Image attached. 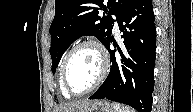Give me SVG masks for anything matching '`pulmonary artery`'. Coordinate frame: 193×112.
<instances>
[{
    "instance_id": "obj_1",
    "label": "pulmonary artery",
    "mask_w": 193,
    "mask_h": 112,
    "mask_svg": "<svg viewBox=\"0 0 193 112\" xmlns=\"http://www.w3.org/2000/svg\"><path fill=\"white\" fill-rule=\"evenodd\" d=\"M114 28H115V30H118V24H117V21L115 22Z\"/></svg>"
}]
</instances>
